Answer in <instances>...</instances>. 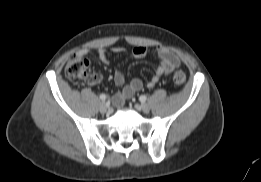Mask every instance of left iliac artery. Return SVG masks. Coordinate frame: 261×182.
<instances>
[{"label":"left iliac artery","instance_id":"1","mask_svg":"<svg viewBox=\"0 0 261 182\" xmlns=\"http://www.w3.org/2000/svg\"><path fill=\"white\" fill-rule=\"evenodd\" d=\"M146 99H147V97H146L145 95H141V96L139 97V100H140L142 103L145 102Z\"/></svg>","mask_w":261,"mask_h":182}]
</instances>
